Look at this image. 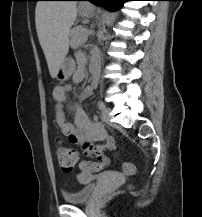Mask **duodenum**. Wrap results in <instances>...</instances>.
Masks as SVG:
<instances>
[{"label":"duodenum","instance_id":"410a0bca","mask_svg":"<svg viewBox=\"0 0 202 217\" xmlns=\"http://www.w3.org/2000/svg\"><path fill=\"white\" fill-rule=\"evenodd\" d=\"M99 78V68L96 63H92V82L97 83Z\"/></svg>","mask_w":202,"mask_h":217}]
</instances>
